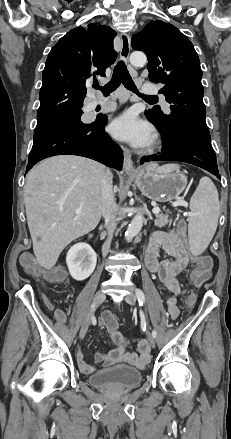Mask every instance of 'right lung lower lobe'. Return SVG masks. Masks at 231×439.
<instances>
[{
	"mask_svg": "<svg viewBox=\"0 0 231 439\" xmlns=\"http://www.w3.org/2000/svg\"><path fill=\"white\" fill-rule=\"evenodd\" d=\"M107 116L85 126L61 124L36 131L26 173L39 161L55 155H78L121 170L123 152L106 134Z\"/></svg>",
	"mask_w": 231,
	"mask_h": 439,
	"instance_id": "obj_1",
	"label": "right lung lower lobe"
}]
</instances>
